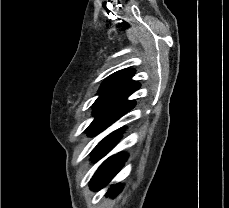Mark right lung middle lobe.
Instances as JSON below:
<instances>
[{"label":"right lung middle lobe","mask_w":229,"mask_h":208,"mask_svg":"<svg viewBox=\"0 0 229 208\" xmlns=\"http://www.w3.org/2000/svg\"><path fill=\"white\" fill-rule=\"evenodd\" d=\"M134 103L114 100L97 101L93 104L94 115L96 116L90 126L87 128L90 136H95L102 132L124 114L129 112ZM122 129H118L105 137L99 145L96 146L93 152L102 147L105 143L109 142L115 136L120 134Z\"/></svg>","instance_id":"obj_1"}]
</instances>
